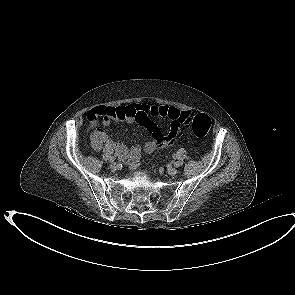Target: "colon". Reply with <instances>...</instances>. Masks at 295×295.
<instances>
[{"label": "colon", "instance_id": "1", "mask_svg": "<svg viewBox=\"0 0 295 295\" xmlns=\"http://www.w3.org/2000/svg\"><path fill=\"white\" fill-rule=\"evenodd\" d=\"M179 122L181 124V128L183 126L190 127L194 134L198 137H204L211 127V119L207 114L204 113H191L189 115L181 114L179 116ZM156 148L157 142L155 140H150L144 147V152L146 154H151Z\"/></svg>", "mask_w": 295, "mask_h": 295}]
</instances>
